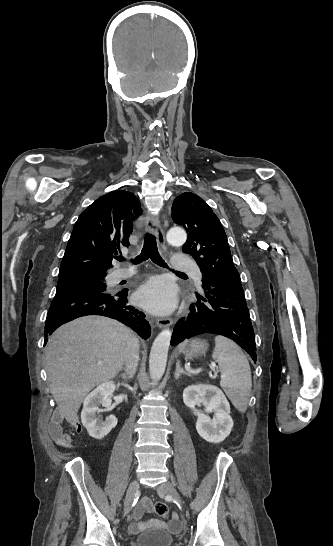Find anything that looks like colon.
I'll list each match as a JSON object with an SVG mask.
<instances>
[{"mask_svg": "<svg viewBox=\"0 0 333 546\" xmlns=\"http://www.w3.org/2000/svg\"><path fill=\"white\" fill-rule=\"evenodd\" d=\"M154 510H155L156 514L161 516V517H167L168 514H169L168 506L165 503L160 502V501L155 503Z\"/></svg>", "mask_w": 333, "mask_h": 546, "instance_id": "1", "label": "colon"}]
</instances>
